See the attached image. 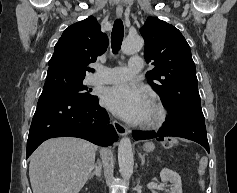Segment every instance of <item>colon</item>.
Wrapping results in <instances>:
<instances>
[{"label":"colon","mask_w":237,"mask_h":193,"mask_svg":"<svg viewBox=\"0 0 237 193\" xmlns=\"http://www.w3.org/2000/svg\"><path fill=\"white\" fill-rule=\"evenodd\" d=\"M166 144L168 146H175L177 144V140L176 139H167ZM207 165H208V160L206 157H201L198 160V173L200 176V183H201L202 187L204 185V174H205Z\"/></svg>","instance_id":"colon-1"}]
</instances>
